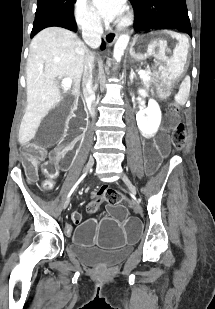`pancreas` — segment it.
Instances as JSON below:
<instances>
[{
    "label": "pancreas",
    "mask_w": 215,
    "mask_h": 309,
    "mask_svg": "<svg viewBox=\"0 0 215 309\" xmlns=\"http://www.w3.org/2000/svg\"><path fill=\"white\" fill-rule=\"evenodd\" d=\"M147 76H149V74H147ZM152 82H154V80H152V78H149V80H143V84H145V86H150V84H152Z\"/></svg>",
    "instance_id": "1"
}]
</instances>
